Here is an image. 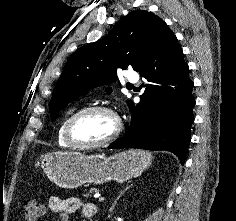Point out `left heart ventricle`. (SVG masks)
<instances>
[{
    "instance_id": "b2bd125f",
    "label": "left heart ventricle",
    "mask_w": 236,
    "mask_h": 221,
    "mask_svg": "<svg viewBox=\"0 0 236 221\" xmlns=\"http://www.w3.org/2000/svg\"><path fill=\"white\" fill-rule=\"evenodd\" d=\"M115 120L107 113L94 112L80 118L72 130L73 138L82 144L96 143L111 137Z\"/></svg>"
}]
</instances>
